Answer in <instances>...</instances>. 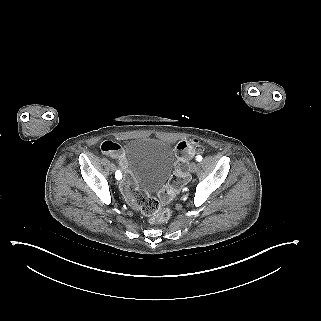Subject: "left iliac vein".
<instances>
[{"mask_svg":"<svg viewBox=\"0 0 321 321\" xmlns=\"http://www.w3.org/2000/svg\"><path fill=\"white\" fill-rule=\"evenodd\" d=\"M197 169H198L197 164H196V163H192L191 166H190V171H191L192 173H194V172L197 171Z\"/></svg>","mask_w":321,"mask_h":321,"instance_id":"4c4485c4","label":"left iliac vein"}]
</instances>
